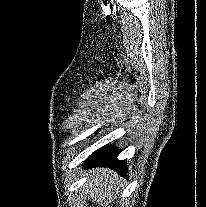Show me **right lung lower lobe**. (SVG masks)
<instances>
[{"instance_id": "1", "label": "right lung lower lobe", "mask_w": 206, "mask_h": 207, "mask_svg": "<svg viewBox=\"0 0 206 207\" xmlns=\"http://www.w3.org/2000/svg\"><path fill=\"white\" fill-rule=\"evenodd\" d=\"M120 153L118 148L111 145H106L93 152L85 161L84 167L104 166L111 167L124 177L127 176V164L123 160H118L117 156Z\"/></svg>"}]
</instances>
